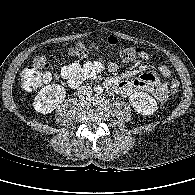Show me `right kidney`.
I'll return each mask as SVG.
<instances>
[{"instance_id": "obj_1", "label": "right kidney", "mask_w": 195, "mask_h": 195, "mask_svg": "<svg viewBox=\"0 0 195 195\" xmlns=\"http://www.w3.org/2000/svg\"><path fill=\"white\" fill-rule=\"evenodd\" d=\"M66 96V91L59 84L47 85L40 89L33 103L34 110L41 114L54 111L59 102Z\"/></svg>"}]
</instances>
